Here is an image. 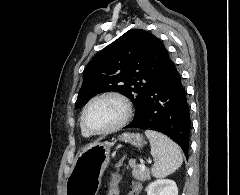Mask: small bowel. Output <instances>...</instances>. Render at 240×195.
<instances>
[{"label":"small bowel","mask_w":240,"mask_h":195,"mask_svg":"<svg viewBox=\"0 0 240 195\" xmlns=\"http://www.w3.org/2000/svg\"><path fill=\"white\" fill-rule=\"evenodd\" d=\"M142 192V184L140 182H133L127 195H140Z\"/></svg>","instance_id":"small-bowel-1"}]
</instances>
